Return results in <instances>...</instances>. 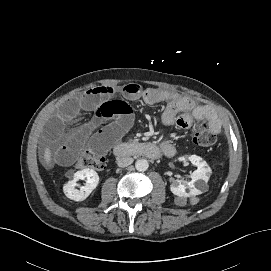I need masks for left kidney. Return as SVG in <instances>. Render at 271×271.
<instances>
[{"mask_svg": "<svg viewBox=\"0 0 271 271\" xmlns=\"http://www.w3.org/2000/svg\"><path fill=\"white\" fill-rule=\"evenodd\" d=\"M188 159L193 165L197 166V170L190 175L191 181L175 180L170 185V190L174 195L184 198L197 195L200 192L197 188V186L200 185L199 181L207 183L211 174L210 167L201 157L191 155ZM186 189H189V192H187Z\"/></svg>", "mask_w": 271, "mask_h": 271, "instance_id": "5707ae66", "label": "left kidney"}]
</instances>
